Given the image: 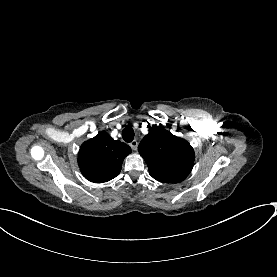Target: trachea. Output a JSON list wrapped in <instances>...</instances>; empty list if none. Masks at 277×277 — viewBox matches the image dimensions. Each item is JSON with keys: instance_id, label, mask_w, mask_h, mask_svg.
Listing matches in <instances>:
<instances>
[{"instance_id": "obj_1", "label": "trachea", "mask_w": 277, "mask_h": 277, "mask_svg": "<svg viewBox=\"0 0 277 277\" xmlns=\"http://www.w3.org/2000/svg\"><path fill=\"white\" fill-rule=\"evenodd\" d=\"M134 135L135 133L131 126H126L122 131V137L124 141H126L127 143H130L133 141Z\"/></svg>"}]
</instances>
